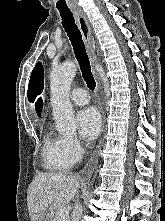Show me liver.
<instances>
[{"mask_svg": "<svg viewBox=\"0 0 165 221\" xmlns=\"http://www.w3.org/2000/svg\"><path fill=\"white\" fill-rule=\"evenodd\" d=\"M80 178L71 174L47 172L36 175L27 192L31 221H38L48 208H63L73 200Z\"/></svg>", "mask_w": 165, "mask_h": 221, "instance_id": "liver-1", "label": "liver"}]
</instances>
